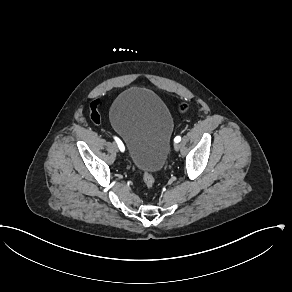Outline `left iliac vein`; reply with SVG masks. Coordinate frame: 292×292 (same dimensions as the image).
Segmentation results:
<instances>
[{
	"label": "left iliac vein",
	"instance_id": "obj_1",
	"mask_svg": "<svg viewBox=\"0 0 292 292\" xmlns=\"http://www.w3.org/2000/svg\"><path fill=\"white\" fill-rule=\"evenodd\" d=\"M174 149H175L176 151H178V150L180 149V144H179V143H175V144H174Z\"/></svg>",
	"mask_w": 292,
	"mask_h": 292
}]
</instances>
